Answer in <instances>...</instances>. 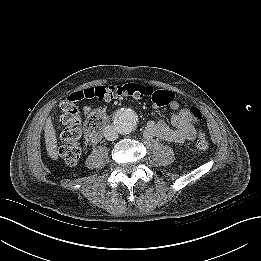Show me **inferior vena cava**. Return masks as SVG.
<instances>
[{
	"label": "inferior vena cava",
	"mask_w": 261,
	"mask_h": 261,
	"mask_svg": "<svg viewBox=\"0 0 261 261\" xmlns=\"http://www.w3.org/2000/svg\"><path fill=\"white\" fill-rule=\"evenodd\" d=\"M104 136L108 141H114L118 138L117 130L114 126L108 125L105 128Z\"/></svg>",
	"instance_id": "602c4592"
}]
</instances>
